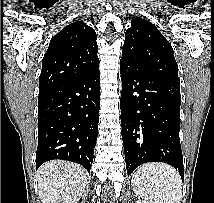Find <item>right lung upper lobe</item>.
<instances>
[{
  "label": "right lung upper lobe",
  "mask_w": 214,
  "mask_h": 203,
  "mask_svg": "<svg viewBox=\"0 0 214 203\" xmlns=\"http://www.w3.org/2000/svg\"><path fill=\"white\" fill-rule=\"evenodd\" d=\"M97 35L83 21L56 34L43 57L39 93L99 68Z\"/></svg>",
  "instance_id": "right-lung-upper-lobe-1"
}]
</instances>
